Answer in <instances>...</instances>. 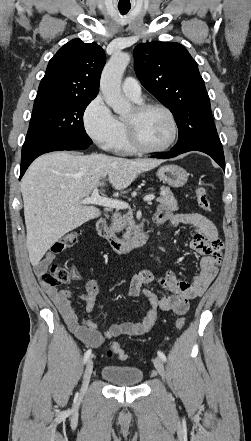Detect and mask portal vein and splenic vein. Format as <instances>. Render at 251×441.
Returning <instances> with one entry per match:
<instances>
[{
    "label": "portal vein and splenic vein",
    "instance_id": "portal-vein-and-splenic-vein-1",
    "mask_svg": "<svg viewBox=\"0 0 251 441\" xmlns=\"http://www.w3.org/2000/svg\"><path fill=\"white\" fill-rule=\"evenodd\" d=\"M155 199L154 195H147L144 197V201L151 202ZM82 204H96L99 206L107 207V208H115V209H126L129 208V204L115 199H110L106 197H102L99 195L98 190L95 188L92 191L90 197H86L81 201Z\"/></svg>",
    "mask_w": 251,
    "mask_h": 441
}]
</instances>
